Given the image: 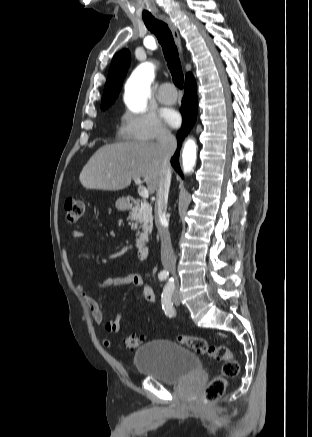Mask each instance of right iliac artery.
Segmentation results:
<instances>
[{"mask_svg":"<svg viewBox=\"0 0 312 437\" xmlns=\"http://www.w3.org/2000/svg\"><path fill=\"white\" fill-rule=\"evenodd\" d=\"M167 277H168V274H166V273H161V274L159 275V279H160L161 281L166 280Z\"/></svg>","mask_w":312,"mask_h":437,"instance_id":"82829eb1","label":"right iliac artery"}]
</instances>
